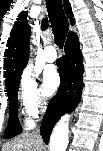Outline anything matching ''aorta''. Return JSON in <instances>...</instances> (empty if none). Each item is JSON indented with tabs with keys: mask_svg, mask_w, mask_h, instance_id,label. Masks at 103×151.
Here are the masks:
<instances>
[{
	"mask_svg": "<svg viewBox=\"0 0 103 151\" xmlns=\"http://www.w3.org/2000/svg\"><path fill=\"white\" fill-rule=\"evenodd\" d=\"M69 116H64L56 125L51 135L49 151H66L68 146Z\"/></svg>",
	"mask_w": 103,
	"mask_h": 151,
	"instance_id": "aorta-1",
	"label": "aorta"
}]
</instances>
